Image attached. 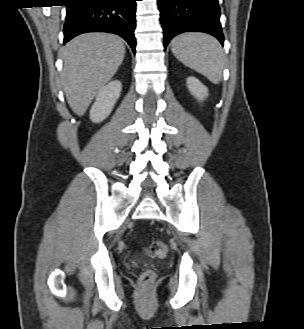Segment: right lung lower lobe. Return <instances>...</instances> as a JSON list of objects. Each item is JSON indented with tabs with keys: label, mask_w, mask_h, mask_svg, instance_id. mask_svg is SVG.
I'll return each instance as SVG.
<instances>
[{
	"label": "right lung lower lobe",
	"mask_w": 304,
	"mask_h": 329,
	"mask_svg": "<svg viewBox=\"0 0 304 329\" xmlns=\"http://www.w3.org/2000/svg\"><path fill=\"white\" fill-rule=\"evenodd\" d=\"M64 43L85 32H109L123 37L135 53L136 0H66Z\"/></svg>",
	"instance_id": "98d812e1"
}]
</instances>
